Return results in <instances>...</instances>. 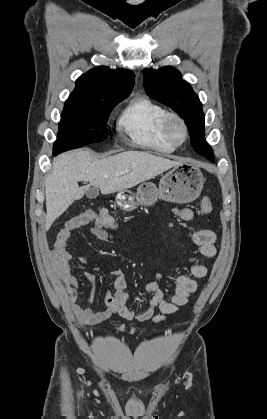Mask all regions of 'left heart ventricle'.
Masks as SVG:
<instances>
[{"instance_id": "1", "label": "left heart ventricle", "mask_w": 267, "mask_h": 419, "mask_svg": "<svg viewBox=\"0 0 267 419\" xmlns=\"http://www.w3.org/2000/svg\"><path fill=\"white\" fill-rule=\"evenodd\" d=\"M171 134L176 141H181L183 139V129L177 122L172 123L171 125Z\"/></svg>"}]
</instances>
